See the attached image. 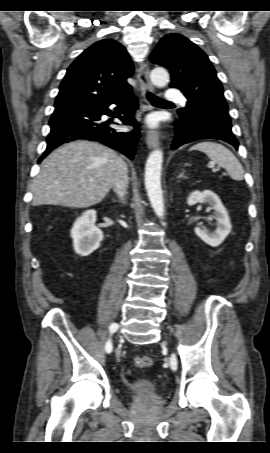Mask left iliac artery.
I'll return each mask as SVG.
<instances>
[{
  "label": "left iliac artery",
  "instance_id": "obj_1",
  "mask_svg": "<svg viewBox=\"0 0 270 453\" xmlns=\"http://www.w3.org/2000/svg\"><path fill=\"white\" fill-rule=\"evenodd\" d=\"M171 368L173 370H176L177 369V361H176V357L173 355L172 358H171Z\"/></svg>",
  "mask_w": 270,
  "mask_h": 453
}]
</instances>
